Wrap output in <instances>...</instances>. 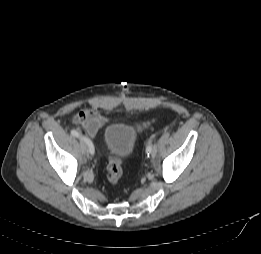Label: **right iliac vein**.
<instances>
[{
	"mask_svg": "<svg viewBox=\"0 0 261 254\" xmlns=\"http://www.w3.org/2000/svg\"><path fill=\"white\" fill-rule=\"evenodd\" d=\"M80 148H81V151L83 153L87 152V146H86V144L82 140H81V143H80Z\"/></svg>",
	"mask_w": 261,
	"mask_h": 254,
	"instance_id": "right-iliac-vein-1",
	"label": "right iliac vein"
}]
</instances>
